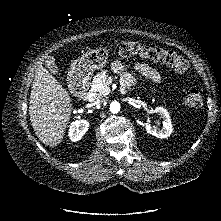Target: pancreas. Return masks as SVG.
<instances>
[{"label":"pancreas","instance_id":"cf45deb5","mask_svg":"<svg viewBox=\"0 0 221 221\" xmlns=\"http://www.w3.org/2000/svg\"><path fill=\"white\" fill-rule=\"evenodd\" d=\"M92 88L98 92L99 95H106L110 92L108 76L105 71H101L93 77Z\"/></svg>","mask_w":221,"mask_h":221}]
</instances>
